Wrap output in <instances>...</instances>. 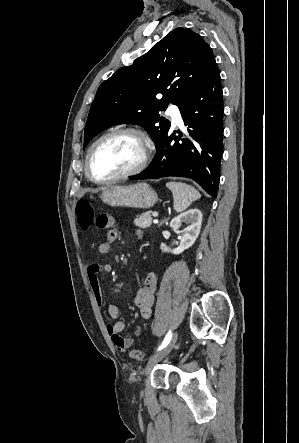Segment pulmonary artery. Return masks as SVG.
Wrapping results in <instances>:
<instances>
[{
    "label": "pulmonary artery",
    "instance_id": "obj_1",
    "mask_svg": "<svg viewBox=\"0 0 299 443\" xmlns=\"http://www.w3.org/2000/svg\"><path fill=\"white\" fill-rule=\"evenodd\" d=\"M167 115L172 119L173 123L181 125L182 117L177 106L171 105L167 109Z\"/></svg>",
    "mask_w": 299,
    "mask_h": 443
}]
</instances>
